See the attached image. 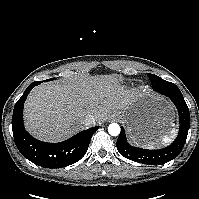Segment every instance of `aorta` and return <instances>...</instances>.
Masks as SVG:
<instances>
[{"label":"aorta","instance_id":"aorta-1","mask_svg":"<svg viewBox=\"0 0 199 199\" xmlns=\"http://www.w3.org/2000/svg\"><path fill=\"white\" fill-rule=\"evenodd\" d=\"M108 133L111 136H118L120 134V126L117 123H112L108 126Z\"/></svg>","mask_w":199,"mask_h":199}]
</instances>
